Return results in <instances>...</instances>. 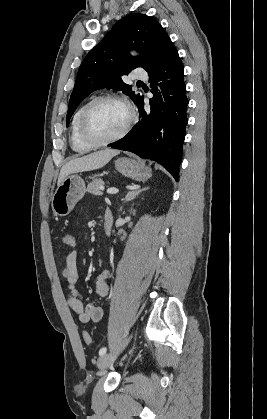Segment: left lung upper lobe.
Segmentation results:
<instances>
[{"instance_id":"obj_1","label":"left lung upper lobe","mask_w":267,"mask_h":419,"mask_svg":"<svg viewBox=\"0 0 267 419\" xmlns=\"http://www.w3.org/2000/svg\"><path fill=\"white\" fill-rule=\"evenodd\" d=\"M169 41L161 24L150 16L133 13L119 20L79 67L69 101L67 126L78 105L98 89L121 90L136 104L142 96L132 91L122 76L137 67L148 72L157 64ZM129 49L139 51L140 57L129 55Z\"/></svg>"}]
</instances>
